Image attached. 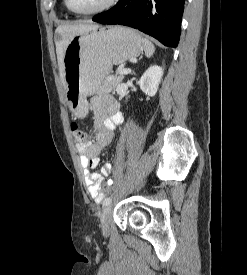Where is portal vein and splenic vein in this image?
I'll return each instance as SVG.
<instances>
[{
	"mask_svg": "<svg viewBox=\"0 0 247 275\" xmlns=\"http://www.w3.org/2000/svg\"><path fill=\"white\" fill-rule=\"evenodd\" d=\"M131 72V69H121L118 71L120 75H126Z\"/></svg>",
	"mask_w": 247,
	"mask_h": 275,
	"instance_id": "18ae733b",
	"label": "portal vein and splenic vein"
}]
</instances>
